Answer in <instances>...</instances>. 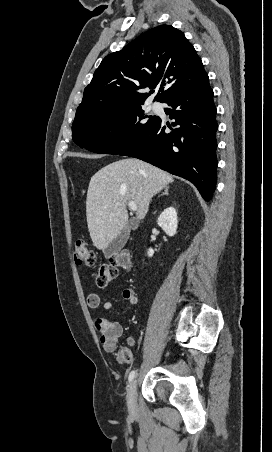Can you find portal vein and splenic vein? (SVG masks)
<instances>
[{
    "label": "portal vein and splenic vein",
    "instance_id": "1",
    "mask_svg": "<svg viewBox=\"0 0 272 452\" xmlns=\"http://www.w3.org/2000/svg\"><path fill=\"white\" fill-rule=\"evenodd\" d=\"M128 206L132 211L137 210V204L134 201H128Z\"/></svg>",
    "mask_w": 272,
    "mask_h": 452
}]
</instances>
